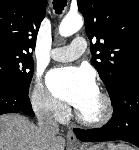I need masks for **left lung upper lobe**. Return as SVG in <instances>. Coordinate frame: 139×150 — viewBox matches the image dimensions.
I'll return each mask as SVG.
<instances>
[{
  "label": "left lung upper lobe",
  "instance_id": "1",
  "mask_svg": "<svg viewBox=\"0 0 139 150\" xmlns=\"http://www.w3.org/2000/svg\"><path fill=\"white\" fill-rule=\"evenodd\" d=\"M91 44V63L112 98L121 82L139 70V0H77Z\"/></svg>",
  "mask_w": 139,
  "mask_h": 150
}]
</instances>
